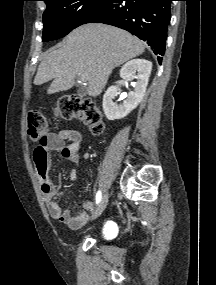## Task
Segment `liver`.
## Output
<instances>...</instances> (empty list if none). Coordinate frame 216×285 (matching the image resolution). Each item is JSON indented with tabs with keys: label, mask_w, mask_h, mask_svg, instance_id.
Masks as SVG:
<instances>
[{
	"label": "liver",
	"mask_w": 216,
	"mask_h": 285,
	"mask_svg": "<svg viewBox=\"0 0 216 285\" xmlns=\"http://www.w3.org/2000/svg\"><path fill=\"white\" fill-rule=\"evenodd\" d=\"M145 45L137 37L103 24L82 25L66 36L40 63L35 85L53 80L47 93L66 91L78 74L86 76L87 93L101 94L112 70L141 55Z\"/></svg>",
	"instance_id": "6515ba94"
}]
</instances>
